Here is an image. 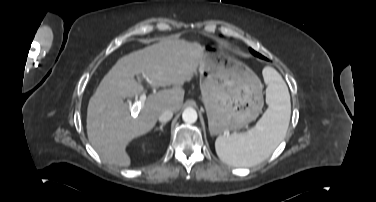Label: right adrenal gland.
<instances>
[{"label": "right adrenal gland", "instance_id": "right-adrenal-gland-1", "mask_svg": "<svg viewBox=\"0 0 376 202\" xmlns=\"http://www.w3.org/2000/svg\"><path fill=\"white\" fill-rule=\"evenodd\" d=\"M166 125V123H162L161 125H160V127L159 128H155V131L156 130H160L161 132H163V127Z\"/></svg>", "mask_w": 376, "mask_h": 202}]
</instances>
